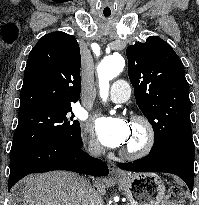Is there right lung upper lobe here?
Wrapping results in <instances>:
<instances>
[{"label": "right lung upper lobe", "mask_w": 199, "mask_h": 205, "mask_svg": "<svg viewBox=\"0 0 199 205\" xmlns=\"http://www.w3.org/2000/svg\"><path fill=\"white\" fill-rule=\"evenodd\" d=\"M80 68V48L74 36L61 31L43 36L28 56L19 111L77 102Z\"/></svg>", "instance_id": "right-lung-upper-lobe-1"}]
</instances>
